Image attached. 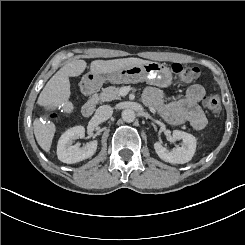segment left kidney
Here are the masks:
<instances>
[{
    "instance_id": "obj_1",
    "label": "left kidney",
    "mask_w": 245,
    "mask_h": 245,
    "mask_svg": "<svg viewBox=\"0 0 245 245\" xmlns=\"http://www.w3.org/2000/svg\"><path fill=\"white\" fill-rule=\"evenodd\" d=\"M174 140H182V146L176 147L172 151L167 150L161 143L156 142L154 149L157 155L165 162L174 164H184L189 162L196 151V138L189 133L174 130L172 133Z\"/></svg>"
}]
</instances>
